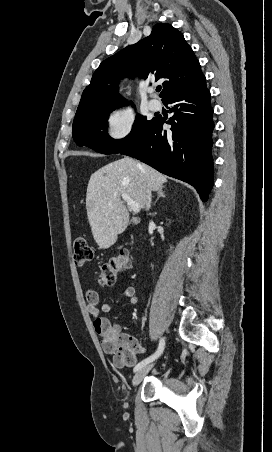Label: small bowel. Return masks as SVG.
I'll return each instance as SVG.
<instances>
[{
  "label": "small bowel",
  "mask_w": 272,
  "mask_h": 452,
  "mask_svg": "<svg viewBox=\"0 0 272 452\" xmlns=\"http://www.w3.org/2000/svg\"><path fill=\"white\" fill-rule=\"evenodd\" d=\"M123 296L128 299L131 304H136L138 302V297L136 295V290L133 286H128L123 291ZM86 297V308L89 315L93 319V328L95 332L101 337V345L103 350L110 353L111 350L107 347L108 342L112 337H117L119 335H124L125 338L136 341L132 336L124 334L120 325H113L111 322L102 317L101 312L108 313L111 311L110 303H103L99 306V294L95 289L89 288L85 293ZM138 344V343H137ZM139 352L144 351V347L138 344Z\"/></svg>",
  "instance_id": "small-bowel-1"
}]
</instances>
